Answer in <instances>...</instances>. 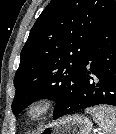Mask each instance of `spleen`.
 I'll use <instances>...</instances> for the list:
<instances>
[{
    "mask_svg": "<svg viewBox=\"0 0 116 134\" xmlns=\"http://www.w3.org/2000/svg\"><path fill=\"white\" fill-rule=\"evenodd\" d=\"M86 112L91 114L102 134H116V108L102 105L88 108Z\"/></svg>",
    "mask_w": 116,
    "mask_h": 134,
    "instance_id": "3e777b00",
    "label": "spleen"
}]
</instances>
